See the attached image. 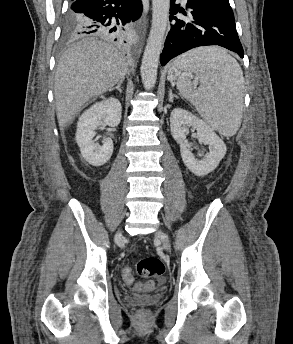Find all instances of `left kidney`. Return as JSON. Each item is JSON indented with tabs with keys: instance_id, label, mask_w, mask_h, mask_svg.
Listing matches in <instances>:
<instances>
[{
	"instance_id": "5707ae66",
	"label": "left kidney",
	"mask_w": 293,
	"mask_h": 344,
	"mask_svg": "<svg viewBox=\"0 0 293 344\" xmlns=\"http://www.w3.org/2000/svg\"><path fill=\"white\" fill-rule=\"evenodd\" d=\"M197 130L198 139L209 146V153L203 160H198L185 143L189 128ZM170 129L174 140L180 145L181 157L186 167L197 176H205L216 169L226 154L223 140L202 119L191 112L176 108L170 115Z\"/></svg>"
}]
</instances>
